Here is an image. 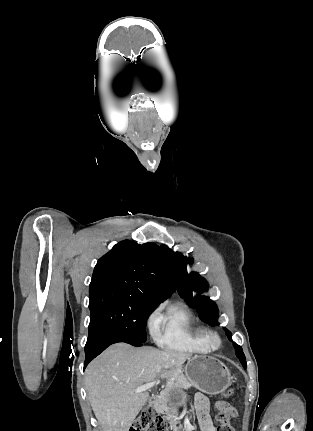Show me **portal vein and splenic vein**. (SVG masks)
<instances>
[{
  "instance_id": "1",
  "label": "portal vein and splenic vein",
  "mask_w": 313,
  "mask_h": 431,
  "mask_svg": "<svg viewBox=\"0 0 313 431\" xmlns=\"http://www.w3.org/2000/svg\"><path fill=\"white\" fill-rule=\"evenodd\" d=\"M155 384H156V382H155V381H153V382H148V383L143 384L142 386L138 387V388L135 390V392H136V393L145 392V391H147V390H149V389L153 388V387L155 386Z\"/></svg>"
}]
</instances>
